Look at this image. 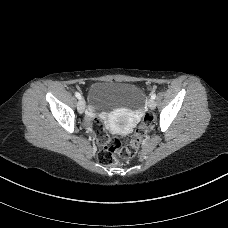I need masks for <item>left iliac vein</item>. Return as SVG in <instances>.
Wrapping results in <instances>:
<instances>
[{"mask_svg":"<svg viewBox=\"0 0 228 228\" xmlns=\"http://www.w3.org/2000/svg\"><path fill=\"white\" fill-rule=\"evenodd\" d=\"M148 107L150 108V109H155V107H156V102L154 101V99H149V101H148Z\"/></svg>","mask_w":228,"mask_h":228,"instance_id":"obj_1","label":"left iliac vein"}]
</instances>
